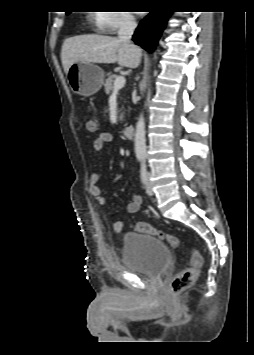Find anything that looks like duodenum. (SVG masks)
Instances as JSON below:
<instances>
[{"label":"duodenum","instance_id":"obj_1","mask_svg":"<svg viewBox=\"0 0 254 355\" xmlns=\"http://www.w3.org/2000/svg\"><path fill=\"white\" fill-rule=\"evenodd\" d=\"M123 134L128 137L131 138L134 134V127L132 125H126L123 128Z\"/></svg>","mask_w":254,"mask_h":355}]
</instances>
